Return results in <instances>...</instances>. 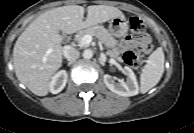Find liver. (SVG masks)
Masks as SVG:
<instances>
[{
    "label": "liver",
    "instance_id": "obj_1",
    "mask_svg": "<svg viewBox=\"0 0 194 133\" xmlns=\"http://www.w3.org/2000/svg\"><path fill=\"white\" fill-rule=\"evenodd\" d=\"M124 17L118 8L106 5L84 8L68 5L54 8L38 16L18 37L13 48V62L18 80L37 96H46L50 81L62 65V31L73 34L81 29ZM52 49L50 54L47 50Z\"/></svg>",
    "mask_w": 194,
    "mask_h": 133
}]
</instances>
